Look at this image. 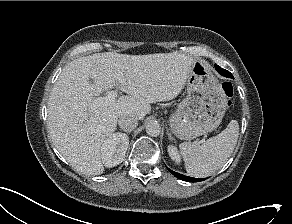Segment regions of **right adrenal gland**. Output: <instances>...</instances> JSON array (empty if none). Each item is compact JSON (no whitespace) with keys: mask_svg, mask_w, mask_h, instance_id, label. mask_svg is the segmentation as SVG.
Returning <instances> with one entry per match:
<instances>
[{"mask_svg":"<svg viewBox=\"0 0 292 224\" xmlns=\"http://www.w3.org/2000/svg\"><path fill=\"white\" fill-rule=\"evenodd\" d=\"M125 132L130 133L131 131H125Z\"/></svg>","mask_w":292,"mask_h":224,"instance_id":"obj_1","label":"right adrenal gland"}]
</instances>
